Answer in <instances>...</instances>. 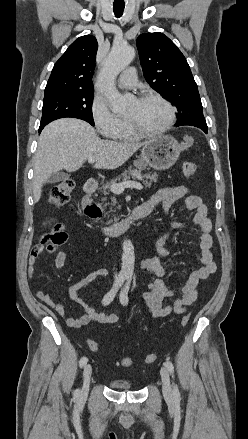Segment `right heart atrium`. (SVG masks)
Returning a JSON list of instances; mask_svg holds the SVG:
<instances>
[{
	"mask_svg": "<svg viewBox=\"0 0 248 439\" xmlns=\"http://www.w3.org/2000/svg\"><path fill=\"white\" fill-rule=\"evenodd\" d=\"M91 116L99 134L104 138H114L122 129L124 119L115 115L107 101L99 96L91 104Z\"/></svg>",
	"mask_w": 248,
	"mask_h": 439,
	"instance_id": "obj_1",
	"label": "right heart atrium"
}]
</instances>
